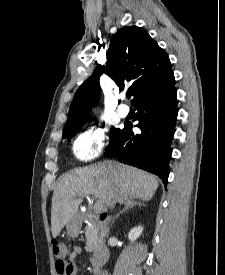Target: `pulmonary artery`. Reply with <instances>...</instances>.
Returning <instances> with one entry per match:
<instances>
[{"label": "pulmonary artery", "mask_w": 225, "mask_h": 275, "mask_svg": "<svg viewBox=\"0 0 225 275\" xmlns=\"http://www.w3.org/2000/svg\"><path fill=\"white\" fill-rule=\"evenodd\" d=\"M117 112L120 117H126L129 113V107L126 105H122L118 108Z\"/></svg>", "instance_id": "e3ab8cb5"}]
</instances>
